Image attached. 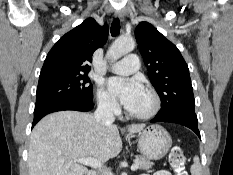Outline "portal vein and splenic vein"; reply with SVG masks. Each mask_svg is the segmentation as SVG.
I'll return each mask as SVG.
<instances>
[{
	"label": "portal vein and splenic vein",
	"instance_id": "18ae733b",
	"mask_svg": "<svg viewBox=\"0 0 233 175\" xmlns=\"http://www.w3.org/2000/svg\"><path fill=\"white\" fill-rule=\"evenodd\" d=\"M75 161H77L78 163L93 167V168H98V169H100L102 166V164L98 160H96L94 158H90V157L79 158V159H76ZM138 167H139V163L137 161H135L134 164L131 166V170L134 171Z\"/></svg>",
	"mask_w": 233,
	"mask_h": 175
}]
</instances>
